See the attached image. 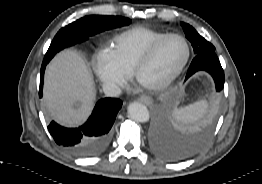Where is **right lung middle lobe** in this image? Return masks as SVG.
Returning <instances> with one entry per match:
<instances>
[{"label":"right lung middle lobe","mask_w":262,"mask_h":184,"mask_svg":"<svg viewBox=\"0 0 262 184\" xmlns=\"http://www.w3.org/2000/svg\"><path fill=\"white\" fill-rule=\"evenodd\" d=\"M131 23L126 17L90 15L60 29L45 54L43 63H48L60 50L88 39L105 30L122 27Z\"/></svg>","instance_id":"right-lung-middle-lobe-1"}]
</instances>
